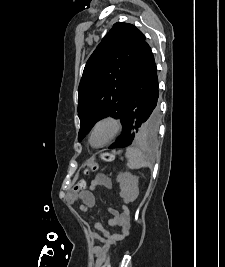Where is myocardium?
Here are the masks:
<instances>
[{
	"label": "myocardium",
	"mask_w": 225,
	"mask_h": 267,
	"mask_svg": "<svg viewBox=\"0 0 225 267\" xmlns=\"http://www.w3.org/2000/svg\"><path fill=\"white\" fill-rule=\"evenodd\" d=\"M105 122H109V123L112 124V126H113L112 134L102 144H100V145H94L92 143V135H93V132H94L95 128L98 125H100L102 123H105ZM123 127H124L123 121H122V119L119 116H117L115 114H107V115L101 116L100 118H98L92 124V126L90 128V131H89V135H88V142H89L90 146L93 147V148H102V147L110 144L111 142H113L121 134V132L123 130Z\"/></svg>",
	"instance_id": "obj_1"
}]
</instances>
